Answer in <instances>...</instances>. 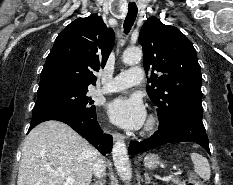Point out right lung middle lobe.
I'll return each mask as SVG.
<instances>
[{
    "label": "right lung middle lobe",
    "mask_w": 233,
    "mask_h": 185,
    "mask_svg": "<svg viewBox=\"0 0 233 185\" xmlns=\"http://www.w3.org/2000/svg\"><path fill=\"white\" fill-rule=\"evenodd\" d=\"M88 89L53 87L37 91L34 108L56 107L71 109L91 115L96 113L93 100L86 96Z\"/></svg>",
    "instance_id": "obj_1"
}]
</instances>
